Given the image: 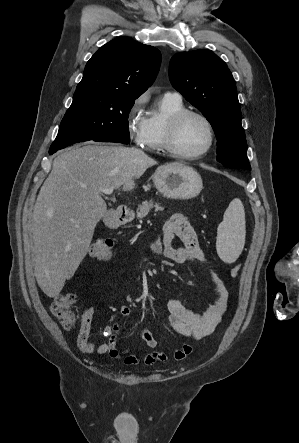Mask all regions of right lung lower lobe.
<instances>
[{
	"label": "right lung lower lobe",
	"mask_w": 299,
	"mask_h": 443,
	"mask_svg": "<svg viewBox=\"0 0 299 443\" xmlns=\"http://www.w3.org/2000/svg\"><path fill=\"white\" fill-rule=\"evenodd\" d=\"M94 141H99V142H119L117 140L111 139V138H98V139H93ZM59 149H50L49 153L53 154L56 151H58Z\"/></svg>",
	"instance_id": "right-lung-lower-lobe-1"
}]
</instances>
